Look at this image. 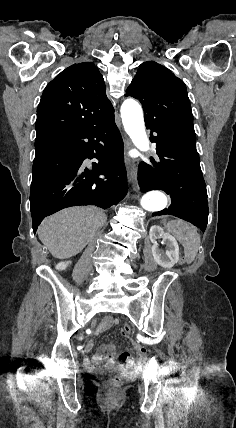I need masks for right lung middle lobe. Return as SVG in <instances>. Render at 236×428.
<instances>
[{"instance_id":"dd1d6c3e","label":"right lung middle lobe","mask_w":236,"mask_h":428,"mask_svg":"<svg viewBox=\"0 0 236 428\" xmlns=\"http://www.w3.org/2000/svg\"><path fill=\"white\" fill-rule=\"evenodd\" d=\"M41 146H42V144H37V143H35V149H36V150H38Z\"/></svg>"}]
</instances>
